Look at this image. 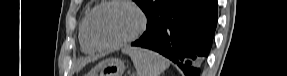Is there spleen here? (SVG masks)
Segmentation results:
<instances>
[{
	"label": "spleen",
	"mask_w": 287,
	"mask_h": 76,
	"mask_svg": "<svg viewBox=\"0 0 287 76\" xmlns=\"http://www.w3.org/2000/svg\"><path fill=\"white\" fill-rule=\"evenodd\" d=\"M122 52L131 57L137 76H159L170 65L166 58L147 49L126 47Z\"/></svg>",
	"instance_id": "3e777b00"
}]
</instances>
